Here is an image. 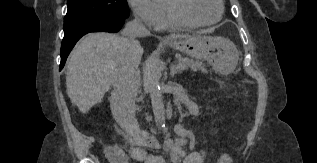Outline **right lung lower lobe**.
I'll list each match as a JSON object with an SVG mask.
<instances>
[{
    "instance_id": "1",
    "label": "right lung lower lobe",
    "mask_w": 317,
    "mask_h": 163,
    "mask_svg": "<svg viewBox=\"0 0 317 163\" xmlns=\"http://www.w3.org/2000/svg\"><path fill=\"white\" fill-rule=\"evenodd\" d=\"M124 19L125 18L103 17L64 32V38L61 45L60 70L64 67L70 51L83 35L89 32L98 31L118 32L124 24Z\"/></svg>"
}]
</instances>
